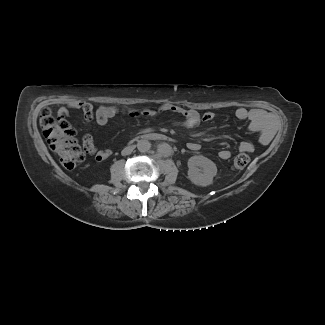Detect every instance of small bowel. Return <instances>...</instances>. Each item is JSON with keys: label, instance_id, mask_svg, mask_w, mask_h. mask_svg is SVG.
I'll list each match as a JSON object with an SVG mask.
<instances>
[{"label": "small bowel", "instance_id": "1", "mask_svg": "<svg viewBox=\"0 0 325 325\" xmlns=\"http://www.w3.org/2000/svg\"><path fill=\"white\" fill-rule=\"evenodd\" d=\"M70 110H82L87 122H91L93 117H95L96 123L99 126H105L117 113L116 109L112 106H100L94 112L93 106L87 102H74L68 107H61L57 111L56 121L60 129L63 131L65 130L71 138L74 137V135L79 134V129L73 127L70 118L66 116ZM159 110L183 116V120L174 121L172 124L186 129H195L204 123L211 122L215 118L213 112L201 114L195 109L185 108L172 103H164ZM144 114L149 117H154L157 112L151 109H146ZM235 116L239 120H248L250 122V129L260 133V142L262 144H266L269 141L273 134V126L269 114L261 109L239 107L235 111ZM82 143L85 150L97 161H104L113 153L111 148L97 149L90 134L83 136ZM187 146L192 151H197L201 148V145L196 141L189 142ZM238 149L241 152L251 153L254 151V145L251 142L244 141L239 144ZM219 157L223 160H227L231 157V152L227 149H223L219 152Z\"/></svg>", "mask_w": 325, "mask_h": 325}]
</instances>
